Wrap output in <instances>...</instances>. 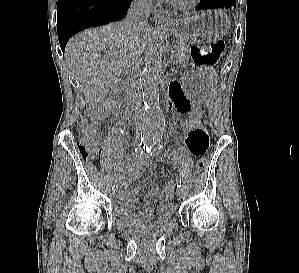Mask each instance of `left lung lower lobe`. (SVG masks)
<instances>
[{"mask_svg":"<svg viewBox=\"0 0 299 273\" xmlns=\"http://www.w3.org/2000/svg\"><path fill=\"white\" fill-rule=\"evenodd\" d=\"M231 7L235 10L236 0H202L197 10L201 9H215L221 7Z\"/></svg>","mask_w":299,"mask_h":273,"instance_id":"obj_1","label":"left lung lower lobe"}]
</instances>
